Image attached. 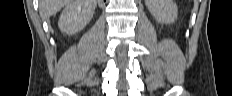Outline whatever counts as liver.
<instances>
[{"label":"liver","instance_id":"1","mask_svg":"<svg viewBox=\"0 0 232 96\" xmlns=\"http://www.w3.org/2000/svg\"><path fill=\"white\" fill-rule=\"evenodd\" d=\"M71 0H40V14L43 18L47 19L55 15L65 5H68Z\"/></svg>","mask_w":232,"mask_h":96}]
</instances>
